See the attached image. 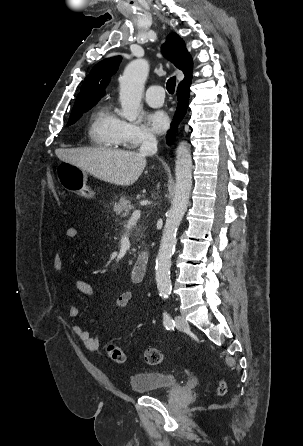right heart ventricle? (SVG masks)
<instances>
[{"instance_id":"1","label":"right heart ventricle","mask_w":303,"mask_h":446,"mask_svg":"<svg viewBox=\"0 0 303 446\" xmlns=\"http://www.w3.org/2000/svg\"><path fill=\"white\" fill-rule=\"evenodd\" d=\"M121 120L104 105L92 116L88 125V138L92 145L100 148H117L122 145L119 136Z\"/></svg>"}]
</instances>
